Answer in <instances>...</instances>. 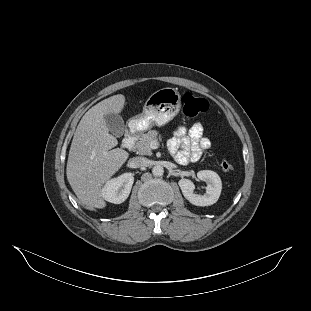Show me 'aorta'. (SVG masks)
<instances>
[{
  "instance_id": "1",
  "label": "aorta",
  "mask_w": 311,
  "mask_h": 311,
  "mask_svg": "<svg viewBox=\"0 0 311 311\" xmlns=\"http://www.w3.org/2000/svg\"><path fill=\"white\" fill-rule=\"evenodd\" d=\"M164 173V168L161 165H155L152 168V174L154 176H162Z\"/></svg>"
}]
</instances>
